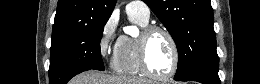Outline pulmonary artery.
Returning a JSON list of instances; mask_svg holds the SVG:
<instances>
[{"mask_svg": "<svg viewBox=\"0 0 260 84\" xmlns=\"http://www.w3.org/2000/svg\"><path fill=\"white\" fill-rule=\"evenodd\" d=\"M126 11L129 15H136L144 21L150 18V10L142 1H133L127 4Z\"/></svg>", "mask_w": 260, "mask_h": 84, "instance_id": "pulmonary-artery-1", "label": "pulmonary artery"}]
</instances>
